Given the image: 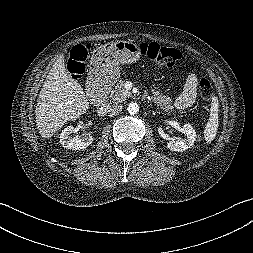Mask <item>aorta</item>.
Instances as JSON below:
<instances>
[{"label":"aorta","mask_w":253,"mask_h":253,"mask_svg":"<svg viewBox=\"0 0 253 253\" xmlns=\"http://www.w3.org/2000/svg\"><path fill=\"white\" fill-rule=\"evenodd\" d=\"M127 110H128V112H129V114L135 115V114H137L138 111H139V106H138L137 103L132 102V103H130V104L128 105Z\"/></svg>","instance_id":"762f6f07"}]
</instances>
